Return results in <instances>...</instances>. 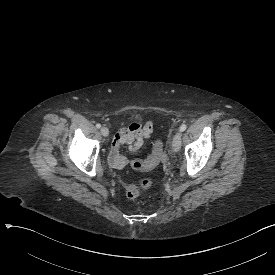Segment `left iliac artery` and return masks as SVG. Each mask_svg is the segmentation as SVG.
<instances>
[{
    "mask_svg": "<svg viewBox=\"0 0 275 275\" xmlns=\"http://www.w3.org/2000/svg\"><path fill=\"white\" fill-rule=\"evenodd\" d=\"M186 128H187V125H186V124H182V125L180 126V131L183 132V131L186 130Z\"/></svg>",
    "mask_w": 275,
    "mask_h": 275,
    "instance_id": "1",
    "label": "left iliac artery"
}]
</instances>
